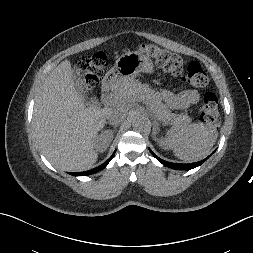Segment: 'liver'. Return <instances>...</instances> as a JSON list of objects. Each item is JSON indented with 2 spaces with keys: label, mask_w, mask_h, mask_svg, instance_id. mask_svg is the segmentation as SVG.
Returning <instances> with one entry per match:
<instances>
[{
  "label": "liver",
  "mask_w": 253,
  "mask_h": 253,
  "mask_svg": "<svg viewBox=\"0 0 253 253\" xmlns=\"http://www.w3.org/2000/svg\"><path fill=\"white\" fill-rule=\"evenodd\" d=\"M125 86V100L112 107L128 109L131 102L146 97L140 84ZM110 108L86 107L74 87L71 63L61 62L41 86L33 111L32 125L44 156L63 170L92 167L98 158L95 138L104 127Z\"/></svg>",
  "instance_id": "6515ba94"
}]
</instances>
